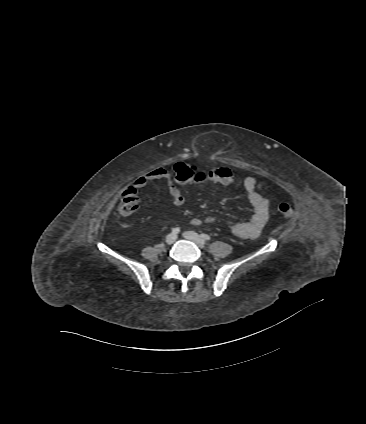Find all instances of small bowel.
<instances>
[{
  "instance_id": "1",
  "label": "small bowel",
  "mask_w": 366,
  "mask_h": 424,
  "mask_svg": "<svg viewBox=\"0 0 366 424\" xmlns=\"http://www.w3.org/2000/svg\"><path fill=\"white\" fill-rule=\"evenodd\" d=\"M219 171L232 172L229 167L225 166L220 167ZM157 179H164L167 182L171 199L175 205L181 206L186 202V197L173 182L171 173L164 168H157L139 177L135 181L134 185L135 187L140 188L143 187L148 181ZM212 182L219 184H227L218 180V176H216V179ZM243 186L246 191L247 200L252 207L253 215L251 219L247 222L230 223V229L232 234L239 239H254L260 235L263 227L268 221L269 202L266 198H264L260 193L256 191V179L254 177H246L243 180ZM213 222H215L214 217H197L192 219L191 224L193 226H199L203 223Z\"/></svg>"
}]
</instances>
